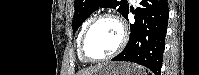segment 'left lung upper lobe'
I'll list each match as a JSON object with an SVG mask.
<instances>
[{
	"mask_svg": "<svg viewBox=\"0 0 199 75\" xmlns=\"http://www.w3.org/2000/svg\"><path fill=\"white\" fill-rule=\"evenodd\" d=\"M100 7L117 8L123 16L126 15L129 4L127 0H75V13L72 20L73 33L85 19Z\"/></svg>",
	"mask_w": 199,
	"mask_h": 75,
	"instance_id": "left-lung-upper-lobe-1",
	"label": "left lung upper lobe"
}]
</instances>
